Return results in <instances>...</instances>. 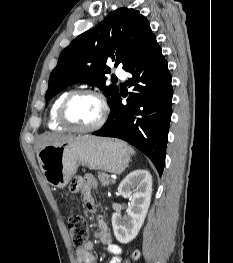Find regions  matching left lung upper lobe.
I'll return each instance as SVG.
<instances>
[{"label":"left lung upper lobe","mask_w":233,"mask_h":263,"mask_svg":"<svg viewBox=\"0 0 233 263\" xmlns=\"http://www.w3.org/2000/svg\"><path fill=\"white\" fill-rule=\"evenodd\" d=\"M149 22L139 11L120 8L110 13L94 29L75 38L60 54L58 64L49 78L45 99L67 86L83 82L102 89L110 109L119 96L114 85H105L110 73L107 60L125 70L155 39Z\"/></svg>","instance_id":"5c2ea615"}]
</instances>
